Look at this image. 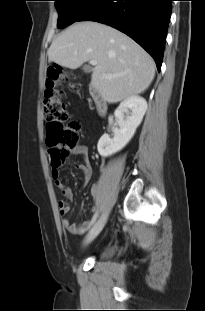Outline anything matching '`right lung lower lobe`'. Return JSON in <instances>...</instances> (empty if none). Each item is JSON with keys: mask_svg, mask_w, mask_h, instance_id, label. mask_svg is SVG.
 <instances>
[{"mask_svg": "<svg viewBox=\"0 0 205 311\" xmlns=\"http://www.w3.org/2000/svg\"><path fill=\"white\" fill-rule=\"evenodd\" d=\"M173 0H97L77 21L110 25L134 39L160 71Z\"/></svg>", "mask_w": 205, "mask_h": 311, "instance_id": "obj_1", "label": "right lung lower lobe"}]
</instances>
